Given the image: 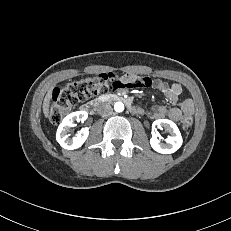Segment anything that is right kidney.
Instances as JSON below:
<instances>
[{"mask_svg":"<svg viewBox=\"0 0 231 231\" xmlns=\"http://www.w3.org/2000/svg\"><path fill=\"white\" fill-rule=\"evenodd\" d=\"M88 117V113L85 111H77L67 115L61 124L59 125L56 133L57 142L64 148L68 150H73L81 147L86 141L89 130L81 129L73 138H69V129L74 125V121L84 122Z\"/></svg>","mask_w":231,"mask_h":231,"instance_id":"obj_1","label":"right kidney"}]
</instances>
